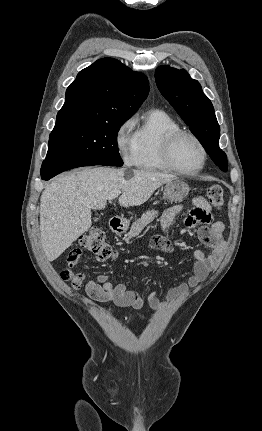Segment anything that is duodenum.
<instances>
[{
  "mask_svg": "<svg viewBox=\"0 0 262 431\" xmlns=\"http://www.w3.org/2000/svg\"><path fill=\"white\" fill-rule=\"evenodd\" d=\"M110 227L114 233H120L123 231L124 221L117 216H113L110 219Z\"/></svg>",
  "mask_w": 262,
  "mask_h": 431,
  "instance_id": "obj_1",
  "label": "duodenum"
}]
</instances>
